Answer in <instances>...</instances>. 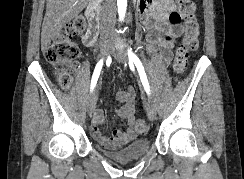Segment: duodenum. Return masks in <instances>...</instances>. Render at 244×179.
I'll list each match as a JSON object with an SVG mask.
<instances>
[{
	"label": "duodenum",
	"mask_w": 244,
	"mask_h": 179,
	"mask_svg": "<svg viewBox=\"0 0 244 179\" xmlns=\"http://www.w3.org/2000/svg\"><path fill=\"white\" fill-rule=\"evenodd\" d=\"M98 11H99L98 2L96 0H90L85 10V15L87 19L91 21V32L88 36L90 37L93 44L96 41V26L94 24V20L98 15Z\"/></svg>",
	"instance_id": "obj_1"
}]
</instances>
